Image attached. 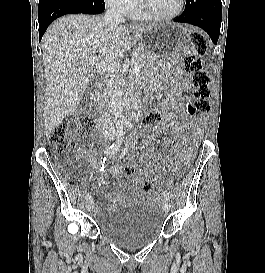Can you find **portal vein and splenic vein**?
Segmentation results:
<instances>
[{
  "label": "portal vein and splenic vein",
  "mask_w": 265,
  "mask_h": 273,
  "mask_svg": "<svg viewBox=\"0 0 265 273\" xmlns=\"http://www.w3.org/2000/svg\"><path fill=\"white\" fill-rule=\"evenodd\" d=\"M89 65L94 66L101 71H111V70H118L120 67V63L118 61H100L97 57H92L89 60ZM138 67L134 66L133 70L136 71Z\"/></svg>",
  "instance_id": "portal-vein-and-splenic-vein-1"
}]
</instances>
